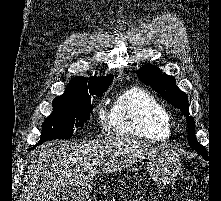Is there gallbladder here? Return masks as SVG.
I'll return each mask as SVG.
<instances>
[{"label":"gallbladder","instance_id":"1","mask_svg":"<svg viewBox=\"0 0 221 201\" xmlns=\"http://www.w3.org/2000/svg\"><path fill=\"white\" fill-rule=\"evenodd\" d=\"M74 187L72 185H65L60 189L59 198L62 201H69L74 195Z\"/></svg>","mask_w":221,"mask_h":201}]
</instances>
